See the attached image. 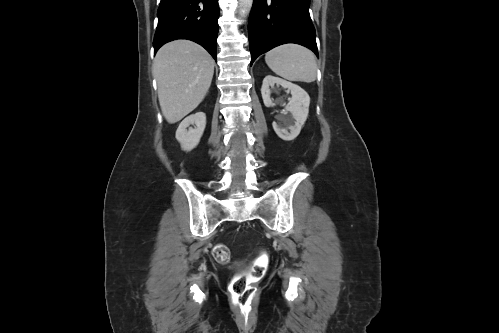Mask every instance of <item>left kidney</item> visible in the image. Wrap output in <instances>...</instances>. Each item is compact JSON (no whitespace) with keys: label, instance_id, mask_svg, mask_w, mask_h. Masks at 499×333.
<instances>
[{"label":"left kidney","instance_id":"1","mask_svg":"<svg viewBox=\"0 0 499 333\" xmlns=\"http://www.w3.org/2000/svg\"><path fill=\"white\" fill-rule=\"evenodd\" d=\"M275 84L281 85L291 93L292 97L286 105L285 111L290 112L295 121H289L286 127H281L274 121L272 126L281 139L291 141L299 135L301 128L308 117L310 97L300 86L278 77L267 75L263 80L261 88L263 102L266 107H272L274 105L270 97V87H273Z\"/></svg>","mask_w":499,"mask_h":333}]
</instances>
